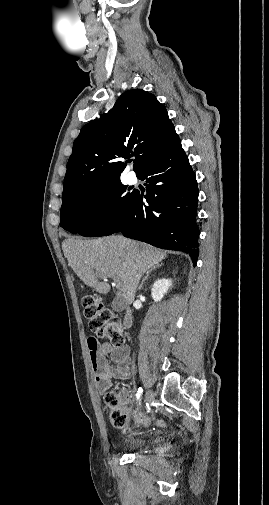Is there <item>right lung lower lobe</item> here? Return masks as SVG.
Masks as SVG:
<instances>
[{
	"mask_svg": "<svg viewBox=\"0 0 269 505\" xmlns=\"http://www.w3.org/2000/svg\"><path fill=\"white\" fill-rule=\"evenodd\" d=\"M137 177L147 182V204L142 201L143 194L135 192L113 233L162 249L184 251L195 266L200 233L196 224L198 187L181 143L149 162Z\"/></svg>",
	"mask_w": 269,
	"mask_h": 505,
	"instance_id": "98d812e1",
	"label": "right lung lower lobe"
}]
</instances>
